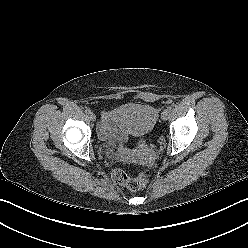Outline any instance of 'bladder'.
<instances>
[{"label":"bladder","instance_id":"31cf9c89","mask_svg":"<svg viewBox=\"0 0 248 248\" xmlns=\"http://www.w3.org/2000/svg\"><path fill=\"white\" fill-rule=\"evenodd\" d=\"M115 116L119 124L136 137L149 134L157 121L156 111L147 104H124L115 110Z\"/></svg>","mask_w":248,"mask_h":248}]
</instances>
